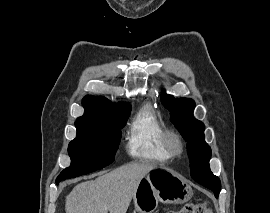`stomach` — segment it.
Listing matches in <instances>:
<instances>
[{"label":"stomach","instance_id":"1","mask_svg":"<svg viewBox=\"0 0 270 213\" xmlns=\"http://www.w3.org/2000/svg\"><path fill=\"white\" fill-rule=\"evenodd\" d=\"M193 191L187 180L168 169H155L139 183L133 197L134 213H153L158 203L182 204Z\"/></svg>","mask_w":270,"mask_h":213}]
</instances>
